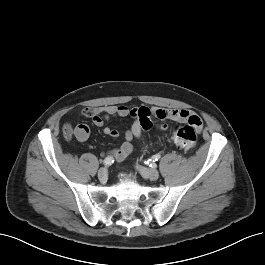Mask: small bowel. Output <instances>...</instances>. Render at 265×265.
<instances>
[{"label": "small bowel", "mask_w": 265, "mask_h": 265, "mask_svg": "<svg viewBox=\"0 0 265 265\" xmlns=\"http://www.w3.org/2000/svg\"><path fill=\"white\" fill-rule=\"evenodd\" d=\"M83 117H89L93 123L103 128L104 134L110 137H117L119 131L116 128L104 126L105 121L111 117H126L131 116L134 122L131 127L125 131L124 143L119 147L108 152V157H113L117 161L124 160L133 152L132 141L141 138L143 132L150 130L151 118L158 117L162 119L175 120L179 122L193 123L194 126L201 130L203 125L198 115L189 109H148L145 107L129 108L124 105H107L94 108H84L81 111ZM192 119V121H191ZM165 127L162 126L161 129ZM90 130L85 124H79L75 127V137L78 141L84 142L89 138Z\"/></svg>", "instance_id": "c3829d8e"}]
</instances>
